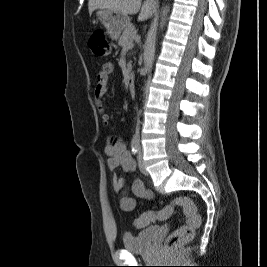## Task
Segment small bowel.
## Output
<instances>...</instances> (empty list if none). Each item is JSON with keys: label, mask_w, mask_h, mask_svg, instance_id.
I'll return each instance as SVG.
<instances>
[{"label": "small bowel", "mask_w": 267, "mask_h": 267, "mask_svg": "<svg viewBox=\"0 0 267 267\" xmlns=\"http://www.w3.org/2000/svg\"><path fill=\"white\" fill-rule=\"evenodd\" d=\"M113 73V66L106 63L102 66L97 74L96 85L94 88V100L100 109L101 120L103 125L107 126L110 121V115L104 110L102 100L107 92L109 77ZM107 155V164L111 171L122 169L126 173H134L136 170V162L127 150L122 139L117 137H108L104 148ZM114 190L120 194L119 205L123 211L130 212L136 207V200L127 194L126 181L115 175L112 180ZM131 192L134 196L143 199H152L153 193L148 190L143 182L135 178L131 183Z\"/></svg>", "instance_id": "obj_1"}]
</instances>
